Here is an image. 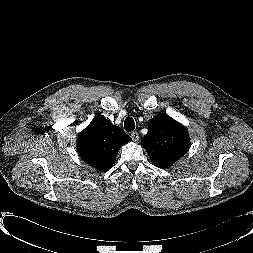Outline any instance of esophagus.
<instances>
[{"instance_id":"obj_1","label":"esophagus","mask_w":253,"mask_h":253,"mask_svg":"<svg viewBox=\"0 0 253 253\" xmlns=\"http://www.w3.org/2000/svg\"><path fill=\"white\" fill-rule=\"evenodd\" d=\"M131 137H132L133 141L137 142L139 140V133L137 131H133L131 133Z\"/></svg>"}]
</instances>
